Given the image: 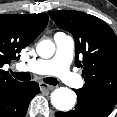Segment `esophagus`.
<instances>
[{"instance_id":"obj_1","label":"esophagus","mask_w":117,"mask_h":117,"mask_svg":"<svg viewBox=\"0 0 117 117\" xmlns=\"http://www.w3.org/2000/svg\"><path fill=\"white\" fill-rule=\"evenodd\" d=\"M39 86H40L41 91H50V90L54 89V86L48 85V84L43 83V82H41L39 84Z\"/></svg>"}]
</instances>
